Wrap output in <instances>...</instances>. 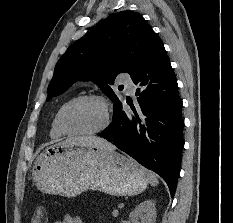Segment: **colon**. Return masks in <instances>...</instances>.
<instances>
[{
    "label": "colon",
    "instance_id": "colon-1",
    "mask_svg": "<svg viewBox=\"0 0 233 223\" xmlns=\"http://www.w3.org/2000/svg\"><path fill=\"white\" fill-rule=\"evenodd\" d=\"M40 212L35 213V220L34 223H44L45 222V217L44 214L42 212V209H39Z\"/></svg>",
    "mask_w": 233,
    "mask_h": 223
}]
</instances>
